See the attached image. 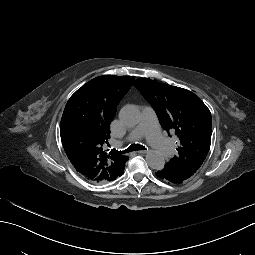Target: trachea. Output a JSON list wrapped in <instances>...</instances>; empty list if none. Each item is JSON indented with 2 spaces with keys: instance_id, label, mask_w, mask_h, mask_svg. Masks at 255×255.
Returning a JSON list of instances; mask_svg holds the SVG:
<instances>
[{
  "instance_id": "obj_1",
  "label": "trachea",
  "mask_w": 255,
  "mask_h": 255,
  "mask_svg": "<svg viewBox=\"0 0 255 255\" xmlns=\"http://www.w3.org/2000/svg\"><path fill=\"white\" fill-rule=\"evenodd\" d=\"M135 150H145V147L143 145L134 143V144L130 145L127 149H125L124 151H122L120 153L125 154V153L132 152V151H135ZM112 151L116 152L115 149H112Z\"/></svg>"
}]
</instances>
